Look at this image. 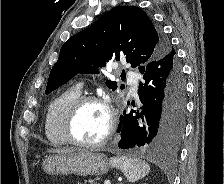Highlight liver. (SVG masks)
<instances>
[{"mask_svg": "<svg viewBox=\"0 0 224 184\" xmlns=\"http://www.w3.org/2000/svg\"><path fill=\"white\" fill-rule=\"evenodd\" d=\"M47 151L49 153H58V154L73 152V150H68V149H49Z\"/></svg>", "mask_w": 224, "mask_h": 184, "instance_id": "obj_1", "label": "liver"}]
</instances>
